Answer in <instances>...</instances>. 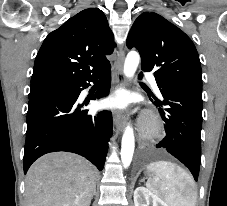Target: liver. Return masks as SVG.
Here are the masks:
<instances>
[{"label":"liver","instance_id":"obj_1","mask_svg":"<svg viewBox=\"0 0 227 206\" xmlns=\"http://www.w3.org/2000/svg\"><path fill=\"white\" fill-rule=\"evenodd\" d=\"M95 188L89 161L72 153H50L28 170L26 206H90Z\"/></svg>","mask_w":227,"mask_h":206}]
</instances>
